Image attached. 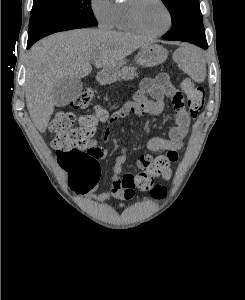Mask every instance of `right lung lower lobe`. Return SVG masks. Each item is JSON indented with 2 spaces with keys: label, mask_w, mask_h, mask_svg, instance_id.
Wrapping results in <instances>:
<instances>
[{
  "label": "right lung lower lobe",
  "mask_w": 245,
  "mask_h": 300,
  "mask_svg": "<svg viewBox=\"0 0 245 300\" xmlns=\"http://www.w3.org/2000/svg\"><path fill=\"white\" fill-rule=\"evenodd\" d=\"M34 42H28L27 46L28 48L33 44Z\"/></svg>",
  "instance_id": "1"
}]
</instances>
